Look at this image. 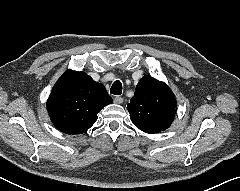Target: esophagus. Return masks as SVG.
Instances as JSON below:
<instances>
[{
    "mask_svg": "<svg viewBox=\"0 0 240 191\" xmlns=\"http://www.w3.org/2000/svg\"><path fill=\"white\" fill-rule=\"evenodd\" d=\"M114 102H115L116 104H121V103L123 102V98L120 97V96H116V97L114 98Z\"/></svg>",
    "mask_w": 240,
    "mask_h": 191,
    "instance_id": "esophagus-1",
    "label": "esophagus"
}]
</instances>
